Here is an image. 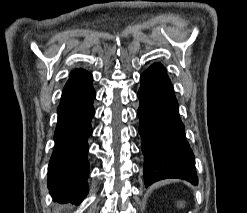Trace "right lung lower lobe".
Segmentation results:
<instances>
[{"mask_svg":"<svg viewBox=\"0 0 247 213\" xmlns=\"http://www.w3.org/2000/svg\"><path fill=\"white\" fill-rule=\"evenodd\" d=\"M95 95L92 75L73 70L58 107L56 144L48 166V188L59 202L79 203L88 193L87 139L92 133Z\"/></svg>","mask_w":247,"mask_h":213,"instance_id":"right-lung-lower-lobe-1","label":"right lung lower lobe"}]
</instances>
